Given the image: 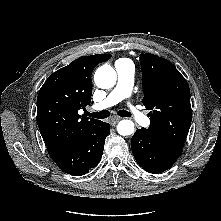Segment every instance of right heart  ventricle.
I'll use <instances>...</instances> for the list:
<instances>
[{
  "mask_svg": "<svg viewBox=\"0 0 221 221\" xmlns=\"http://www.w3.org/2000/svg\"><path fill=\"white\" fill-rule=\"evenodd\" d=\"M126 62H129L128 59H119L116 61V63H126Z\"/></svg>",
  "mask_w": 221,
  "mask_h": 221,
  "instance_id": "obj_1",
  "label": "right heart ventricle"
}]
</instances>
